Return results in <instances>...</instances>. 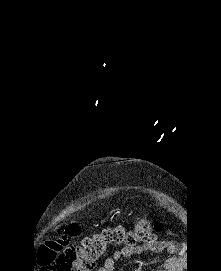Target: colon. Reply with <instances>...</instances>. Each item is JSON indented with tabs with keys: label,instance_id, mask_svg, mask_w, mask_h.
<instances>
[{
	"label": "colon",
	"instance_id": "obj_1",
	"mask_svg": "<svg viewBox=\"0 0 221 271\" xmlns=\"http://www.w3.org/2000/svg\"><path fill=\"white\" fill-rule=\"evenodd\" d=\"M161 231L159 222L139 218L132 229H126L122 225L106 226L96 234L85 237L79 244L69 245V239L81 232L77 224L71 223L65 229L64 235L45 240L36 252L35 260L40 271H92L110 247H135L155 240Z\"/></svg>",
	"mask_w": 221,
	"mask_h": 271
}]
</instances>
